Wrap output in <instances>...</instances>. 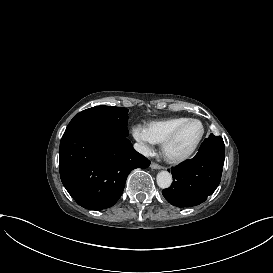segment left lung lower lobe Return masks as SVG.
Returning <instances> with one entry per match:
<instances>
[{
	"mask_svg": "<svg viewBox=\"0 0 273 273\" xmlns=\"http://www.w3.org/2000/svg\"><path fill=\"white\" fill-rule=\"evenodd\" d=\"M224 156L222 137L210 134L193 159L171 169L173 182L162 191L165 199L177 207L196 206L204 202L220 183Z\"/></svg>",
	"mask_w": 273,
	"mask_h": 273,
	"instance_id": "1",
	"label": "left lung lower lobe"
}]
</instances>
